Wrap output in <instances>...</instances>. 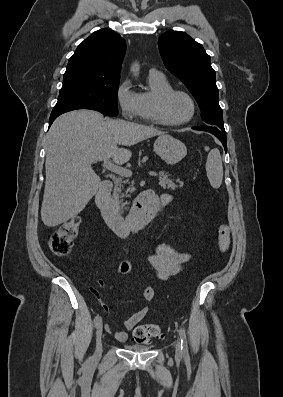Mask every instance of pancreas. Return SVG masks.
Listing matches in <instances>:
<instances>
[{"mask_svg": "<svg viewBox=\"0 0 283 397\" xmlns=\"http://www.w3.org/2000/svg\"><path fill=\"white\" fill-rule=\"evenodd\" d=\"M159 185L163 188V189H171V190H175L178 187H182L184 185V183L182 181H180L179 179H176V183L174 182L173 179H171L169 177V175L164 172V171H160L159 172ZM129 180L128 179H122L119 178L116 180L115 182V187H114V201L115 203L121 208L123 209V207H126L128 202H124L123 198L124 197H129L130 194L134 191V188L132 186H130L125 193L123 192V184L128 183ZM178 183V184H177Z\"/></svg>", "mask_w": 283, "mask_h": 397, "instance_id": "pancreas-1", "label": "pancreas"}]
</instances>
